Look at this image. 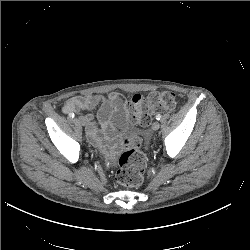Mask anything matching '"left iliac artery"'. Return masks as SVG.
<instances>
[{"mask_svg":"<svg viewBox=\"0 0 250 250\" xmlns=\"http://www.w3.org/2000/svg\"><path fill=\"white\" fill-rule=\"evenodd\" d=\"M156 119L160 120L161 119V115L160 114L156 115Z\"/></svg>","mask_w":250,"mask_h":250,"instance_id":"1","label":"left iliac artery"}]
</instances>
